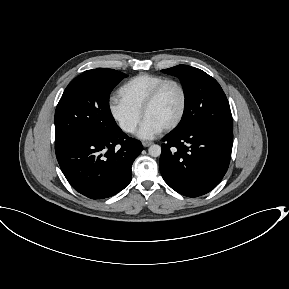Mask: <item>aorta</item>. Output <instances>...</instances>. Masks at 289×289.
Here are the masks:
<instances>
[{
	"label": "aorta",
	"mask_w": 289,
	"mask_h": 289,
	"mask_svg": "<svg viewBox=\"0 0 289 289\" xmlns=\"http://www.w3.org/2000/svg\"><path fill=\"white\" fill-rule=\"evenodd\" d=\"M161 147L157 144L151 145L148 149V153L152 157H158L161 155Z\"/></svg>",
	"instance_id": "obj_1"
}]
</instances>
